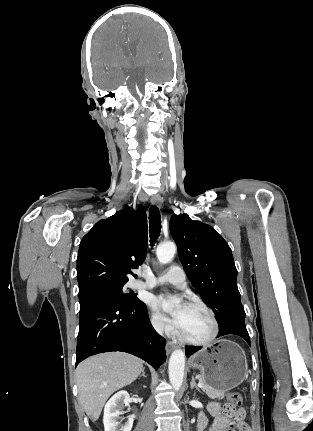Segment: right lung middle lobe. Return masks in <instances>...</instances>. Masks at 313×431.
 Instances as JSON below:
<instances>
[{
	"instance_id": "dd1d6c3e",
	"label": "right lung middle lobe",
	"mask_w": 313,
	"mask_h": 431,
	"mask_svg": "<svg viewBox=\"0 0 313 431\" xmlns=\"http://www.w3.org/2000/svg\"><path fill=\"white\" fill-rule=\"evenodd\" d=\"M124 285L125 284L104 287V288H101L100 290H98L96 293L112 295V296H115V297L122 299L123 301H125L127 303H135V302L139 301L136 294H133V292L124 293Z\"/></svg>"
}]
</instances>
